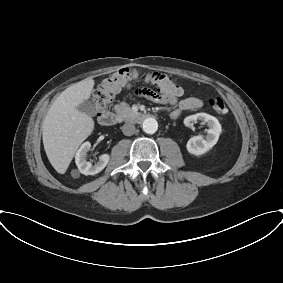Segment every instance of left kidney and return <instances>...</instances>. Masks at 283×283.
<instances>
[{
  "label": "left kidney",
  "mask_w": 283,
  "mask_h": 283,
  "mask_svg": "<svg viewBox=\"0 0 283 283\" xmlns=\"http://www.w3.org/2000/svg\"><path fill=\"white\" fill-rule=\"evenodd\" d=\"M197 120L206 122L209 129L205 139L202 136L192 137L186 145L187 151L193 155L200 156L208 152L218 141L222 132V127L219 121L206 113H197L190 115L184 119V124L188 127L193 125Z\"/></svg>",
  "instance_id": "left-kidney-1"
}]
</instances>
